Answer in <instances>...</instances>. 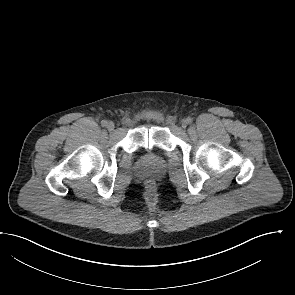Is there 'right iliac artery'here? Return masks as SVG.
<instances>
[{
    "label": "right iliac artery",
    "instance_id": "right-iliac-artery-1",
    "mask_svg": "<svg viewBox=\"0 0 295 295\" xmlns=\"http://www.w3.org/2000/svg\"><path fill=\"white\" fill-rule=\"evenodd\" d=\"M101 125L104 127V126H106L107 125V121L106 120H102L101 121Z\"/></svg>",
    "mask_w": 295,
    "mask_h": 295
}]
</instances>
